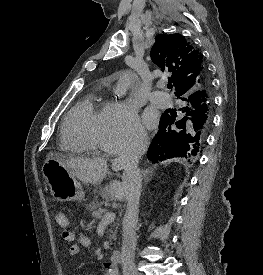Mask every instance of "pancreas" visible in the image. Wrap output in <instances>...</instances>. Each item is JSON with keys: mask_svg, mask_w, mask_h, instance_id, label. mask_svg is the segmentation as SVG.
Returning a JSON list of instances; mask_svg holds the SVG:
<instances>
[{"mask_svg": "<svg viewBox=\"0 0 263 275\" xmlns=\"http://www.w3.org/2000/svg\"><path fill=\"white\" fill-rule=\"evenodd\" d=\"M89 209L92 211V217L95 219H100L107 213V210L104 208H101L100 204L97 201L92 202L89 205ZM112 233L113 234L110 236V238L115 240L117 231H113Z\"/></svg>", "mask_w": 263, "mask_h": 275, "instance_id": "pancreas-1", "label": "pancreas"}]
</instances>
